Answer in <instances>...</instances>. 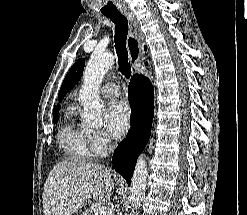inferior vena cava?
<instances>
[{
	"instance_id": "602c4592",
	"label": "inferior vena cava",
	"mask_w": 247,
	"mask_h": 215,
	"mask_svg": "<svg viewBox=\"0 0 247 215\" xmlns=\"http://www.w3.org/2000/svg\"><path fill=\"white\" fill-rule=\"evenodd\" d=\"M112 148H113V146H112V145H110V146H109V150H112ZM118 215H121V214H118Z\"/></svg>"
}]
</instances>
